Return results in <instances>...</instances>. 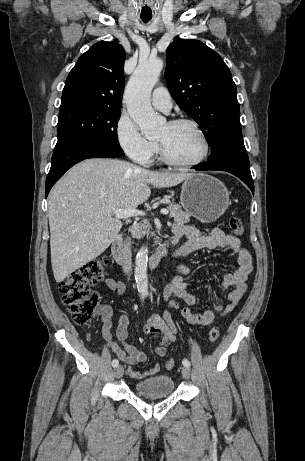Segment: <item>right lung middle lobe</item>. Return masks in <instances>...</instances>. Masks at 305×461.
Segmentation results:
<instances>
[{"instance_id": "right-lung-middle-lobe-1", "label": "right lung middle lobe", "mask_w": 305, "mask_h": 461, "mask_svg": "<svg viewBox=\"0 0 305 461\" xmlns=\"http://www.w3.org/2000/svg\"><path fill=\"white\" fill-rule=\"evenodd\" d=\"M120 114L118 108L95 104L60 108L55 147L77 142H96L123 154L117 137Z\"/></svg>"}]
</instances>
